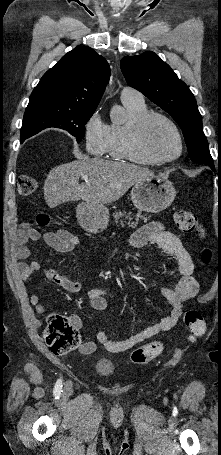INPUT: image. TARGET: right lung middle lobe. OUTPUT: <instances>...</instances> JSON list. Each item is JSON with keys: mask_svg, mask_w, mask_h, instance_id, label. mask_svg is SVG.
<instances>
[{"mask_svg": "<svg viewBox=\"0 0 221 455\" xmlns=\"http://www.w3.org/2000/svg\"><path fill=\"white\" fill-rule=\"evenodd\" d=\"M94 111L45 104L27 106L20 141L22 143L45 128L56 127L68 131L80 142L85 135V125Z\"/></svg>", "mask_w": 221, "mask_h": 455, "instance_id": "right-lung-middle-lobe-1", "label": "right lung middle lobe"}]
</instances>
